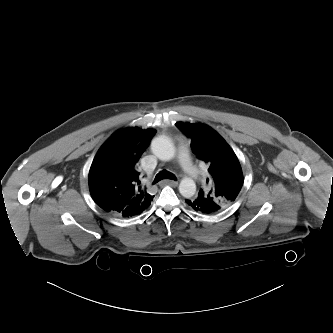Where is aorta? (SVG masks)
I'll return each instance as SVG.
<instances>
[{
	"instance_id": "1",
	"label": "aorta",
	"mask_w": 333,
	"mask_h": 333,
	"mask_svg": "<svg viewBox=\"0 0 333 333\" xmlns=\"http://www.w3.org/2000/svg\"><path fill=\"white\" fill-rule=\"evenodd\" d=\"M151 150L160 160L168 161L174 158L175 148L171 140L166 136H159L152 140ZM179 192L185 198L192 197L196 192V184L193 179L185 177L179 184Z\"/></svg>"
}]
</instances>
